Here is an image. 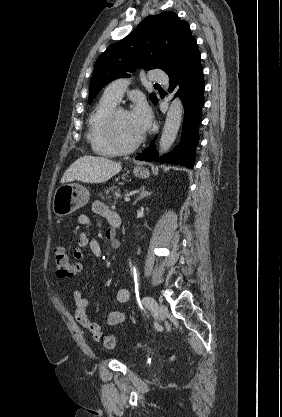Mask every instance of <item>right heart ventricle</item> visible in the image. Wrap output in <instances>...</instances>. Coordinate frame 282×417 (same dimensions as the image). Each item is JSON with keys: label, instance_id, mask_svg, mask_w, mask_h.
I'll use <instances>...</instances> for the list:
<instances>
[{"label": "right heart ventricle", "instance_id": "obj_1", "mask_svg": "<svg viewBox=\"0 0 282 417\" xmlns=\"http://www.w3.org/2000/svg\"><path fill=\"white\" fill-rule=\"evenodd\" d=\"M116 105L117 102L103 96L89 118L88 140L93 149L101 155H112L117 152L100 131L101 122Z\"/></svg>", "mask_w": 282, "mask_h": 417}]
</instances>
